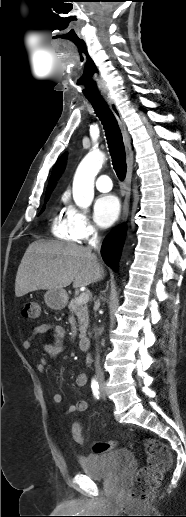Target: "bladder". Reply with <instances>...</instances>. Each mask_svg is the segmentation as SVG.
Segmentation results:
<instances>
[{
	"label": "bladder",
	"instance_id": "31cf9c89",
	"mask_svg": "<svg viewBox=\"0 0 186 517\" xmlns=\"http://www.w3.org/2000/svg\"><path fill=\"white\" fill-rule=\"evenodd\" d=\"M133 462L132 453L126 448L108 453L84 456L79 463L85 475L92 479H111L123 474Z\"/></svg>",
	"mask_w": 186,
	"mask_h": 517
}]
</instances>
